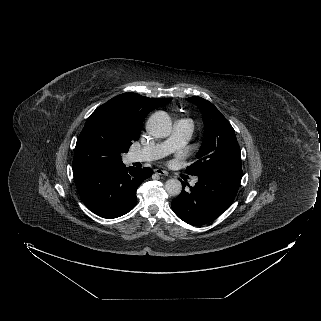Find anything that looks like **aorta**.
<instances>
[{"mask_svg":"<svg viewBox=\"0 0 321 321\" xmlns=\"http://www.w3.org/2000/svg\"><path fill=\"white\" fill-rule=\"evenodd\" d=\"M147 126L151 134L157 138L168 137L172 130L171 119L164 111L152 114L148 119ZM165 190L169 195H179L182 190V184L178 179H169L165 183Z\"/></svg>","mask_w":321,"mask_h":321,"instance_id":"aorta-1","label":"aorta"}]
</instances>
